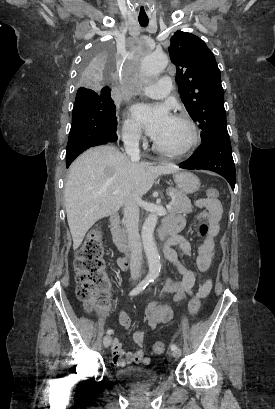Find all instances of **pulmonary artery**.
<instances>
[{
	"mask_svg": "<svg viewBox=\"0 0 275 409\" xmlns=\"http://www.w3.org/2000/svg\"><path fill=\"white\" fill-rule=\"evenodd\" d=\"M169 81L170 76L164 75L163 79L160 81L161 91L158 85H151L150 87L146 88L147 95L151 98L158 99L161 98L164 94H173L175 88L173 85H169Z\"/></svg>",
	"mask_w": 275,
	"mask_h": 409,
	"instance_id": "e3ab8cb5",
	"label": "pulmonary artery"
}]
</instances>
